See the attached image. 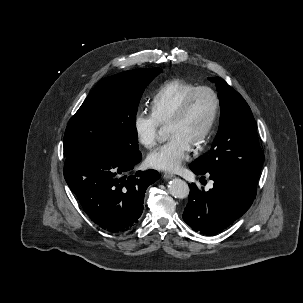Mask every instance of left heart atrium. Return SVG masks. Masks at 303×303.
Listing matches in <instances>:
<instances>
[{
  "label": "left heart atrium",
  "mask_w": 303,
  "mask_h": 303,
  "mask_svg": "<svg viewBox=\"0 0 303 303\" xmlns=\"http://www.w3.org/2000/svg\"><path fill=\"white\" fill-rule=\"evenodd\" d=\"M192 144L183 136L171 135L166 143L152 151L148 156V164L161 171H178L189 158Z\"/></svg>",
  "instance_id": "39dd6f15"
}]
</instances>
